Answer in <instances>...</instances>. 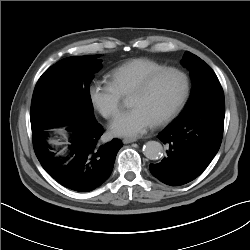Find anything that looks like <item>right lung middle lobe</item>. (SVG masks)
Returning a JSON list of instances; mask_svg holds the SVG:
<instances>
[{
    "label": "right lung middle lobe",
    "instance_id": "obj_1",
    "mask_svg": "<svg viewBox=\"0 0 250 250\" xmlns=\"http://www.w3.org/2000/svg\"><path fill=\"white\" fill-rule=\"evenodd\" d=\"M98 56L68 57L42 74L31 103L33 133L96 120L89 84L101 69Z\"/></svg>",
    "mask_w": 250,
    "mask_h": 250
}]
</instances>
